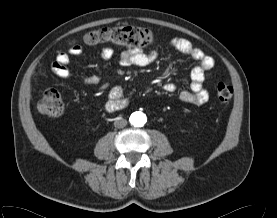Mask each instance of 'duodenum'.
<instances>
[{"label":"duodenum","mask_w":277,"mask_h":218,"mask_svg":"<svg viewBox=\"0 0 277 218\" xmlns=\"http://www.w3.org/2000/svg\"><path fill=\"white\" fill-rule=\"evenodd\" d=\"M124 105H125L124 101H116V102H113L112 107L114 110H118Z\"/></svg>","instance_id":"duodenum-1"}]
</instances>
